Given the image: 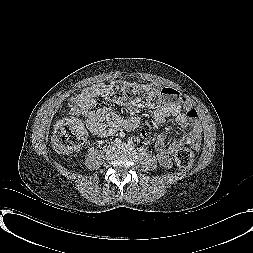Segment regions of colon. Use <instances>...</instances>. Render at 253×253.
Masks as SVG:
<instances>
[{"mask_svg":"<svg viewBox=\"0 0 253 253\" xmlns=\"http://www.w3.org/2000/svg\"><path fill=\"white\" fill-rule=\"evenodd\" d=\"M101 96L106 99L136 106L150 105L152 90L143 85L112 82L102 86ZM86 134L82 124L75 118L62 120L55 128L53 136L54 147L63 153H70L79 148L85 141ZM176 163L181 169H187L192 165L193 155L190 150L181 148L176 153Z\"/></svg>","mask_w":253,"mask_h":253,"instance_id":"1","label":"colon"}]
</instances>
